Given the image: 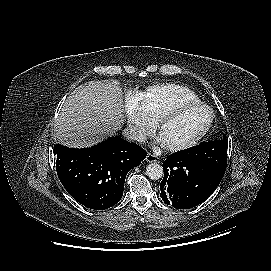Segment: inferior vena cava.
Returning a JSON list of instances; mask_svg holds the SVG:
<instances>
[{
	"label": "inferior vena cava",
	"mask_w": 271,
	"mask_h": 271,
	"mask_svg": "<svg viewBox=\"0 0 271 271\" xmlns=\"http://www.w3.org/2000/svg\"><path fill=\"white\" fill-rule=\"evenodd\" d=\"M123 136L126 139L132 140V141H138V142L145 141V135H143L142 133H140L139 131H137L131 127H127L123 130Z\"/></svg>",
	"instance_id": "obj_1"
}]
</instances>
